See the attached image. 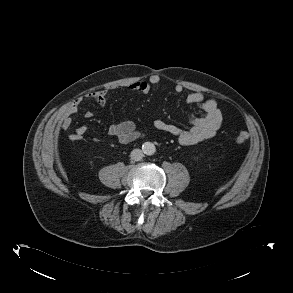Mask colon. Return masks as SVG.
<instances>
[{
    "label": "colon",
    "instance_id": "1",
    "mask_svg": "<svg viewBox=\"0 0 293 293\" xmlns=\"http://www.w3.org/2000/svg\"><path fill=\"white\" fill-rule=\"evenodd\" d=\"M249 138V133L247 131H241L237 136H236V143L242 144L247 141Z\"/></svg>",
    "mask_w": 293,
    "mask_h": 293
}]
</instances>
